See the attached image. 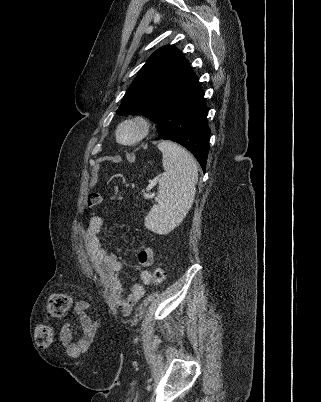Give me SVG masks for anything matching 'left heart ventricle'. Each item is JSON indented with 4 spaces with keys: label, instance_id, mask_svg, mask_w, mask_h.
I'll list each match as a JSON object with an SVG mask.
<instances>
[{
    "label": "left heart ventricle",
    "instance_id": "b2bd125f",
    "mask_svg": "<svg viewBox=\"0 0 321 402\" xmlns=\"http://www.w3.org/2000/svg\"><path fill=\"white\" fill-rule=\"evenodd\" d=\"M137 130L134 127L128 126L122 129L121 139L123 141H129L135 137Z\"/></svg>",
    "mask_w": 321,
    "mask_h": 402
}]
</instances>
